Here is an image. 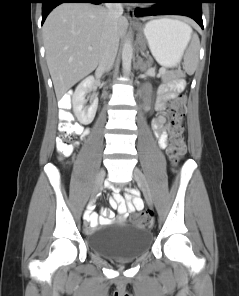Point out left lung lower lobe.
<instances>
[{
    "label": "left lung lower lobe",
    "mask_w": 239,
    "mask_h": 296,
    "mask_svg": "<svg viewBox=\"0 0 239 296\" xmlns=\"http://www.w3.org/2000/svg\"><path fill=\"white\" fill-rule=\"evenodd\" d=\"M157 3L163 4L151 9L137 8L135 15L137 17L166 14L188 16L194 19L203 29L201 4L204 3V0H163Z\"/></svg>",
    "instance_id": "obj_1"
}]
</instances>
